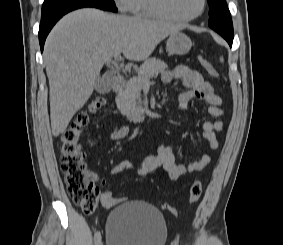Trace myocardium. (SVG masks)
Returning a JSON list of instances; mask_svg holds the SVG:
<instances>
[{
  "instance_id": "f54148a6",
  "label": "myocardium",
  "mask_w": 283,
  "mask_h": 245,
  "mask_svg": "<svg viewBox=\"0 0 283 245\" xmlns=\"http://www.w3.org/2000/svg\"><path fill=\"white\" fill-rule=\"evenodd\" d=\"M149 2H150L151 8L157 14H159L162 18L171 20V21H176V22H190V21L197 19L203 14L206 8V4H207V0H201L200 10L195 15L190 16V17H178V16L173 15L169 11L167 7V0H149Z\"/></svg>"
}]
</instances>
